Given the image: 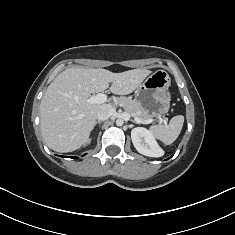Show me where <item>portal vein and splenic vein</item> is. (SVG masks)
Listing matches in <instances>:
<instances>
[{
    "instance_id": "18ae733b",
    "label": "portal vein and splenic vein",
    "mask_w": 235,
    "mask_h": 235,
    "mask_svg": "<svg viewBox=\"0 0 235 235\" xmlns=\"http://www.w3.org/2000/svg\"><path fill=\"white\" fill-rule=\"evenodd\" d=\"M107 101V96L103 93H99L97 95H93L91 96L89 99H88V103L89 104H93V103H96V104H102L104 102ZM135 121L137 123H140V124H150L153 122L152 119H148V120H141L139 118H135ZM159 121L160 122H163L166 123V120L162 119V118H159Z\"/></svg>"
}]
</instances>
